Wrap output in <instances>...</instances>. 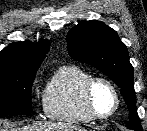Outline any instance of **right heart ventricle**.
I'll return each mask as SVG.
<instances>
[{"mask_svg":"<svg viewBox=\"0 0 147 131\" xmlns=\"http://www.w3.org/2000/svg\"><path fill=\"white\" fill-rule=\"evenodd\" d=\"M91 73L77 65L61 66L52 75L44 91V109L55 121L87 124L93 119L83 104V88Z\"/></svg>","mask_w":147,"mask_h":131,"instance_id":"1","label":"right heart ventricle"}]
</instances>
